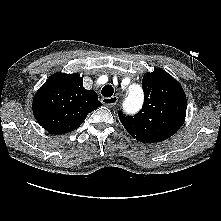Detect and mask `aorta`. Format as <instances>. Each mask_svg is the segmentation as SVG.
Listing matches in <instances>:
<instances>
[{"label":"aorta","instance_id":"aorta-1","mask_svg":"<svg viewBox=\"0 0 221 221\" xmlns=\"http://www.w3.org/2000/svg\"><path fill=\"white\" fill-rule=\"evenodd\" d=\"M143 94L139 87H131L126 98V105L132 110H137L141 107Z\"/></svg>","mask_w":221,"mask_h":221}]
</instances>
